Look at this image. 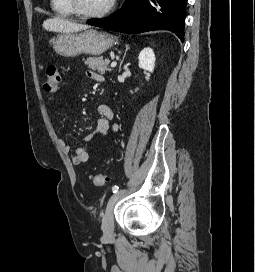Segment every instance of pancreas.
I'll return each instance as SVG.
<instances>
[{
    "label": "pancreas",
    "mask_w": 255,
    "mask_h": 272,
    "mask_svg": "<svg viewBox=\"0 0 255 272\" xmlns=\"http://www.w3.org/2000/svg\"><path fill=\"white\" fill-rule=\"evenodd\" d=\"M85 65L94 71H98L100 74H105L107 71H112L108 67L109 60L102 57H89L84 60Z\"/></svg>",
    "instance_id": "1"
}]
</instances>
